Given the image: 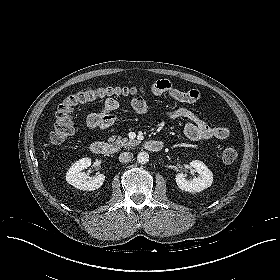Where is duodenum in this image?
Segmentation results:
<instances>
[{"label":"duodenum","mask_w":280,"mask_h":280,"mask_svg":"<svg viewBox=\"0 0 280 280\" xmlns=\"http://www.w3.org/2000/svg\"><path fill=\"white\" fill-rule=\"evenodd\" d=\"M144 148L151 153H159L163 149V144L160 140L149 139L144 142ZM91 151L96 155H110L114 152V148L103 141H94L91 144Z\"/></svg>","instance_id":"410a0bca"}]
</instances>
